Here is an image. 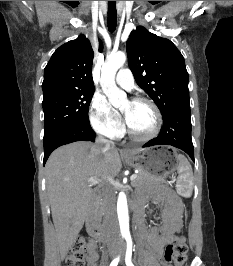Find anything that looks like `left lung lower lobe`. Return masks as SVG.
<instances>
[{"label":"left lung lower lobe","instance_id":"0a47b994","mask_svg":"<svg viewBox=\"0 0 233 266\" xmlns=\"http://www.w3.org/2000/svg\"><path fill=\"white\" fill-rule=\"evenodd\" d=\"M171 145L185 151L194 161V148L191 138V114L189 101L171 107L163 115V127L158 137L143 147Z\"/></svg>","mask_w":233,"mask_h":266}]
</instances>
